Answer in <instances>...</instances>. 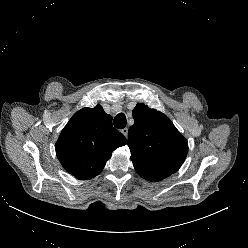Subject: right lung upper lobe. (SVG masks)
<instances>
[{"mask_svg": "<svg viewBox=\"0 0 248 248\" xmlns=\"http://www.w3.org/2000/svg\"><path fill=\"white\" fill-rule=\"evenodd\" d=\"M127 143L112 126V117L98 104L73 115L56 143L62 166L78 179H91L104 168L112 152Z\"/></svg>", "mask_w": 248, "mask_h": 248, "instance_id": "obj_1", "label": "right lung upper lobe"}]
</instances>
